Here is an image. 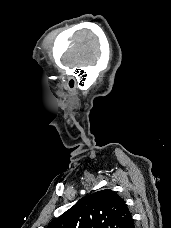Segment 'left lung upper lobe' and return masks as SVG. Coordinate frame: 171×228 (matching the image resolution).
<instances>
[{"label": "left lung upper lobe", "mask_w": 171, "mask_h": 228, "mask_svg": "<svg viewBox=\"0 0 171 228\" xmlns=\"http://www.w3.org/2000/svg\"><path fill=\"white\" fill-rule=\"evenodd\" d=\"M130 217L124 199L105 189L79 200L47 228H123Z\"/></svg>", "instance_id": "1"}]
</instances>
